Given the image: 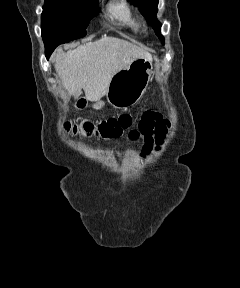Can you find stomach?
<instances>
[{"instance_id":"stomach-1","label":"stomach","mask_w":240,"mask_h":288,"mask_svg":"<svg viewBox=\"0 0 240 288\" xmlns=\"http://www.w3.org/2000/svg\"><path fill=\"white\" fill-rule=\"evenodd\" d=\"M152 61L137 58L127 68L116 73L109 84L107 100L115 108L127 109L143 96L152 74ZM104 102L98 101L94 109H101Z\"/></svg>"}]
</instances>
